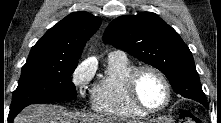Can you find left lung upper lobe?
<instances>
[{
  "label": "left lung upper lobe",
  "mask_w": 221,
  "mask_h": 123,
  "mask_svg": "<svg viewBox=\"0 0 221 123\" xmlns=\"http://www.w3.org/2000/svg\"><path fill=\"white\" fill-rule=\"evenodd\" d=\"M103 41L156 67L168 78L175 93L206 106L191 51L155 13L118 17L106 28Z\"/></svg>",
  "instance_id": "1"
}]
</instances>
